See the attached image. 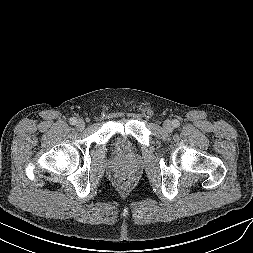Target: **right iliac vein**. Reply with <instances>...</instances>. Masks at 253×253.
<instances>
[{
    "instance_id": "obj_1",
    "label": "right iliac vein",
    "mask_w": 253,
    "mask_h": 253,
    "mask_svg": "<svg viewBox=\"0 0 253 253\" xmlns=\"http://www.w3.org/2000/svg\"><path fill=\"white\" fill-rule=\"evenodd\" d=\"M76 127L77 129L81 130V129H84L85 127V122L81 119L77 120L76 122Z\"/></svg>"
}]
</instances>
